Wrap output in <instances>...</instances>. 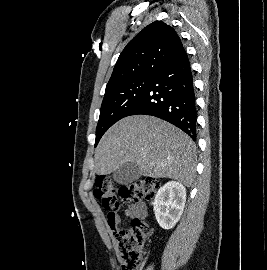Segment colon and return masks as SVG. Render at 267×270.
<instances>
[{"label":"colon","instance_id":"obj_1","mask_svg":"<svg viewBox=\"0 0 267 270\" xmlns=\"http://www.w3.org/2000/svg\"><path fill=\"white\" fill-rule=\"evenodd\" d=\"M160 183L154 178H141L123 186H116L109 178L100 176L95 181L94 196L109 215H115L124 203L138 204L154 199ZM115 241L122 270H140L148 249V227L142 219L131 221V227L120 230Z\"/></svg>","mask_w":267,"mask_h":270}]
</instances>
